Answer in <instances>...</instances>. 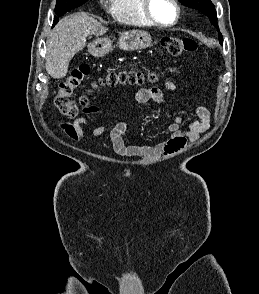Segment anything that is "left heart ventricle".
<instances>
[{"instance_id":"left-heart-ventricle-1","label":"left heart ventricle","mask_w":259,"mask_h":294,"mask_svg":"<svg viewBox=\"0 0 259 294\" xmlns=\"http://www.w3.org/2000/svg\"><path fill=\"white\" fill-rule=\"evenodd\" d=\"M151 12L158 21L163 23L173 22L176 16L171 0H152Z\"/></svg>"}]
</instances>
